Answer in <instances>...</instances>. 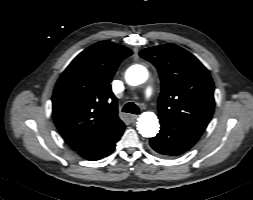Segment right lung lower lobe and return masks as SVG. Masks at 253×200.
I'll list each match as a JSON object with an SVG mask.
<instances>
[{"instance_id":"98d812e1","label":"right lung lower lobe","mask_w":253,"mask_h":200,"mask_svg":"<svg viewBox=\"0 0 253 200\" xmlns=\"http://www.w3.org/2000/svg\"><path fill=\"white\" fill-rule=\"evenodd\" d=\"M124 129L125 126L123 125L119 129L111 133L103 141L78 151V154L90 161L99 160L103 157L108 156L115 148V145L122 136Z\"/></svg>"}]
</instances>
